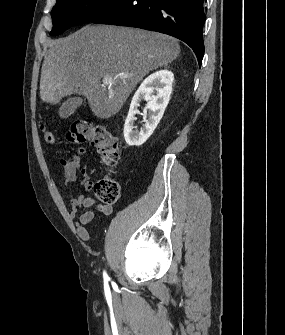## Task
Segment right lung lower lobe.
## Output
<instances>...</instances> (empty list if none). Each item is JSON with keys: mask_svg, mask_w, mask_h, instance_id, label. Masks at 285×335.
Returning a JSON list of instances; mask_svg holds the SVG:
<instances>
[{"mask_svg": "<svg viewBox=\"0 0 285 335\" xmlns=\"http://www.w3.org/2000/svg\"><path fill=\"white\" fill-rule=\"evenodd\" d=\"M204 0H120L89 22L139 27L176 37L204 54Z\"/></svg>", "mask_w": 285, "mask_h": 335, "instance_id": "right-lung-lower-lobe-1", "label": "right lung lower lobe"}]
</instances>
